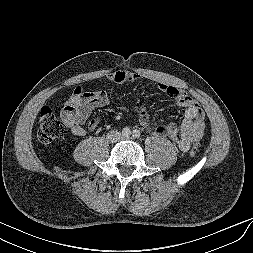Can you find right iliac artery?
<instances>
[{
  "instance_id": "obj_1",
  "label": "right iliac artery",
  "mask_w": 253,
  "mask_h": 253,
  "mask_svg": "<svg viewBox=\"0 0 253 253\" xmlns=\"http://www.w3.org/2000/svg\"><path fill=\"white\" fill-rule=\"evenodd\" d=\"M122 134H123L124 136H129V135L131 134L130 128L125 127V128L122 130Z\"/></svg>"
}]
</instances>
